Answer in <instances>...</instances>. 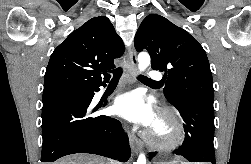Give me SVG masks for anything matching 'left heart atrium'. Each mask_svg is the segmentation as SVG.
I'll return each mask as SVG.
<instances>
[{
    "label": "left heart atrium",
    "instance_id": "39dd6f15",
    "mask_svg": "<svg viewBox=\"0 0 251 164\" xmlns=\"http://www.w3.org/2000/svg\"><path fill=\"white\" fill-rule=\"evenodd\" d=\"M114 109L118 115L142 126L154 128L158 122L151 104L137 92L120 95Z\"/></svg>",
    "mask_w": 251,
    "mask_h": 164
}]
</instances>
